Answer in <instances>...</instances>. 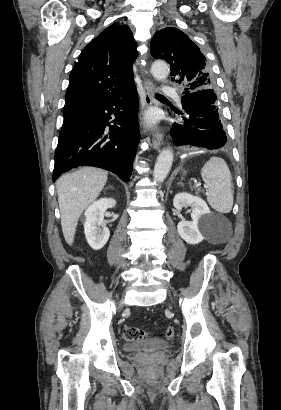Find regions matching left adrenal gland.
<instances>
[{
    "label": "left adrenal gland",
    "instance_id": "a2214340",
    "mask_svg": "<svg viewBox=\"0 0 281 410\" xmlns=\"http://www.w3.org/2000/svg\"><path fill=\"white\" fill-rule=\"evenodd\" d=\"M178 185H181V186H183V183H182V182H179V183H178Z\"/></svg>",
    "mask_w": 281,
    "mask_h": 410
}]
</instances>
